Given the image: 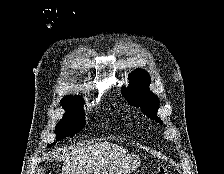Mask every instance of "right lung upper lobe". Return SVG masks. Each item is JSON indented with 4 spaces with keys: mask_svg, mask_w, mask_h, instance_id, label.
I'll list each match as a JSON object with an SVG mask.
<instances>
[{
    "mask_svg": "<svg viewBox=\"0 0 224 174\" xmlns=\"http://www.w3.org/2000/svg\"><path fill=\"white\" fill-rule=\"evenodd\" d=\"M83 100L79 96H66L61 100V105L66 106V105H75L78 103H82Z\"/></svg>",
    "mask_w": 224,
    "mask_h": 174,
    "instance_id": "right-lung-upper-lobe-1",
    "label": "right lung upper lobe"
}]
</instances>
